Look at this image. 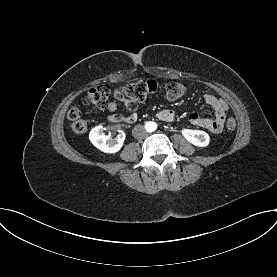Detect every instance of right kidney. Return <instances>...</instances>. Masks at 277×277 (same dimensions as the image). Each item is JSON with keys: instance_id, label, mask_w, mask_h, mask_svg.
<instances>
[{"instance_id": "1", "label": "right kidney", "mask_w": 277, "mask_h": 277, "mask_svg": "<svg viewBox=\"0 0 277 277\" xmlns=\"http://www.w3.org/2000/svg\"><path fill=\"white\" fill-rule=\"evenodd\" d=\"M103 126L94 127L89 133V139L91 143L104 153H116L118 152L124 143L125 133L119 126L116 130L119 132L115 140L110 139L109 136L104 134Z\"/></svg>"}]
</instances>
